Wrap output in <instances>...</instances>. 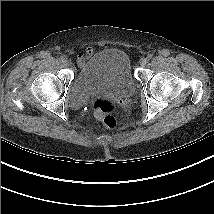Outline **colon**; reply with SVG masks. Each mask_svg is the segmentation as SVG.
Here are the masks:
<instances>
[{
  "mask_svg": "<svg viewBox=\"0 0 214 214\" xmlns=\"http://www.w3.org/2000/svg\"><path fill=\"white\" fill-rule=\"evenodd\" d=\"M96 116L101 120L107 129H114L117 125L113 115L115 104L109 99H97L93 105Z\"/></svg>",
  "mask_w": 214,
  "mask_h": 214,
  "instance_id": "colon-1",
  "label": "colon"
}]
</instances>
